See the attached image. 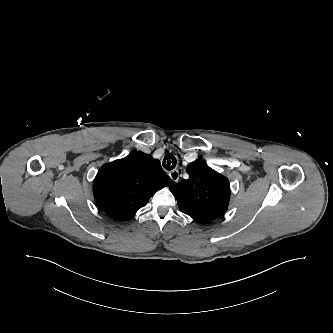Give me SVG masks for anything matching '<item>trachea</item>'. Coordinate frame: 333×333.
I'll list each match as a JSON object with an SVG mask.
<instances>
[{"instance_id":"3493384b","label":"trachea","mask_w":333,"mask_h":333,"mask_svg":"<svg viewBox=\"0 0 333 333\" xmlns=\"http://www.w3.org/2000/svg\"><path fill=\"white\" fill-rule=\"evenodd\" d=\"M163 167L171 171L176 167V158L173 154H167L163 159Z\"/></svg>"}]
</instances>
